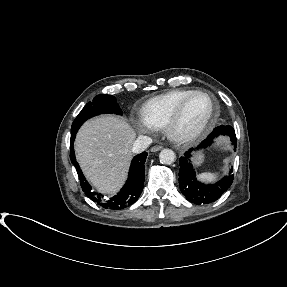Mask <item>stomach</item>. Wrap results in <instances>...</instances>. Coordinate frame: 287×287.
I'll use <instances>...</instances> for the list:
<instances>
[{
  "label": "stomach",
  "instance_id": "0dacf381",
  "mask_svg": "<svg viewBox=\"0 0 287 287\" xmlns=\"http://www.w3.org/2000/svg\"><path fill=\"white\" fill-rule=\"evenodd\" d=\"M205 158V153L203 151H197L192 156V163L195 166H199L203 163Z\"/></svg>",
  "mask_w": 287,
  "mask_h": 287
}]
</instances>
